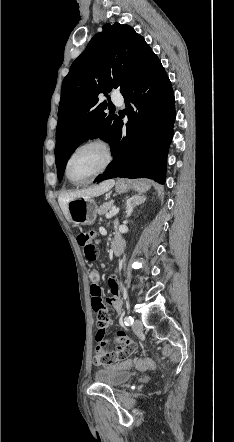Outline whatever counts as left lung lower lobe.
I'll list each match as a JSON object with an SVG mask.
<instances>
[{"label": "left lung lower lobe", "instance_id": "left-lung-lower-lobe-1", "mask_svg": "<svg viewBox=\"0 0 234 442\" xmlns=\"http://www.w3.org/2000/svg\"><path fill=\"white\" fill-rule=\"evenodd\" d=\"M121 93L129 120L127 134L122 136L120 120L111 149L113 161L94 182L122 177L150 178L164 184L175 99L171 82L154 53L138 77Z\"/></svg>", "mask_w": 234, "mask_h": 442}]
</instances>
